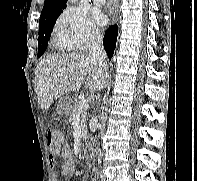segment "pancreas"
<instances>
[{
  "instance_id": "cf45deb5",
  "label": "pancreas",
  "mask_w": 197,
  "mask_h": 181,
  "mask_svg": "<svg viewBox=\"0 0 197 181\" xmlns=\"http://www.w3.org/2000/svg\"><path fill=\"white\" fill-rule=\"evenodd\" d=\"M80 104H81V101H79L78 98H75L74 103L69 112V121H73L76 116L80 117L82 135H83V138L86 139L88 137L87 135L88 131H87V125H86L87 117H86V112L78 113V108Z\"/></svg>"
}]
</instances>
